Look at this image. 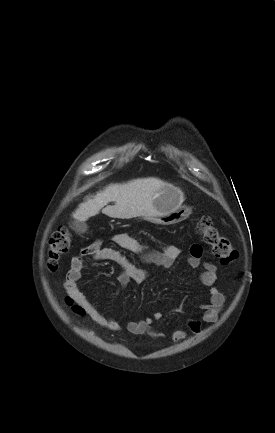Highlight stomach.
<instances>
[{"label": "stomach", "mask_w": 275, "mask_h": 433, "mask_svg": "<svg viewBox=\"0 0 275 433\" xmlns=\"http://www.w3.org/2000/svg\"><path fill=\"white\" fill-rule=\"evenodd\" d=\"M182 195L173 186H165L155 192L153 205L157 214L147 219L160 225H173L189 217L191 209L181 205Z\"/></svg>", "instance_id": "0dacf381"}]
</instances>
